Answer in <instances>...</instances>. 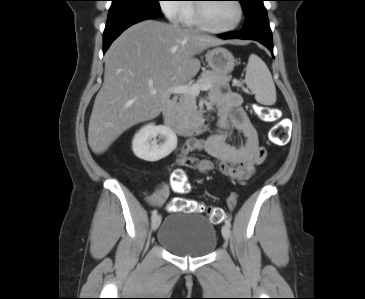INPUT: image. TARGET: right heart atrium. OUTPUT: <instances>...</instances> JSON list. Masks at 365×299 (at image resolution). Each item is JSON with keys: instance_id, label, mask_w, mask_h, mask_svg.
I'll use <instances>...</instances> for the list:
<instances>
[{"instance_id": "d8ad5b80", "label": "right heart atrium", "mask_w": 365, "mask_h": 299, "mask_svg": "<svg viewBox=\"0 0 365 299\" xmlns=\"http://www.w3.org/2000/svg\"><path fill=\"white\" fill-rule=\"evenodd\" d=\"M178 0H161L160 7L162 12L166 15V17L173 21L179 22L182 21L184 16L186 6L180 3H177Z\"/></svg>"}]
</instances>
